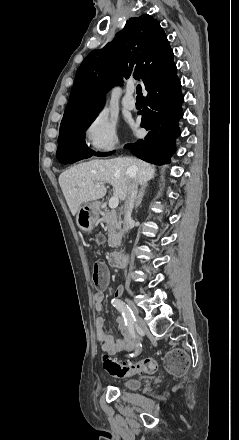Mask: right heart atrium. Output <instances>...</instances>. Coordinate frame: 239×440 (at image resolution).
Returning a JSON list of instances; mask_svg holds the SVG:
<instances>
[{
    "mask_svg": "<svg viewBox=\"0 0 239 440\" xmlns=\"http://www.w3.org/2000/svg\"><path fill=\"white\" fill-rule=\"evenodd\" d=\"M83 144L91 154H105L118 145L115 122L104 110L94 114L83 128Z\"/></svg>",
    "mask_w": 239,
    "mask_h": 440,
    "instance_id": "1",
    "label": "right heart atrium"
}]
</instances>
